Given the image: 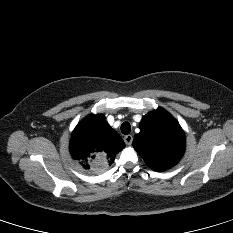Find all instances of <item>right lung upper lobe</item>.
Here are the masks:
<instances>
[{
    "label": "right lung upper lobe",
    "instance_id": "obj_1",
    "mask_svg": "<svg viewBox=\"0 0 233 233\" xmlns=\"http://www.w3.org/2000/svg\"><path fill=\"white\" fill-rule=\"evenodd\" d=\"M124 147L122 138L101 114L89 115L79 122L70 141L74 160L92 173L106 170Z\"/></svg>",
    "mask_w": 233,
    "mask_h": 233
}]
</instances>
